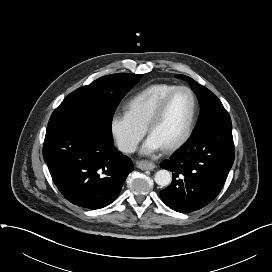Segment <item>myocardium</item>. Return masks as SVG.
I'll return each mask as SVG.
<instances>
[{
  "label": "myocardium",
  "mask_w": 272,
  "mask_h": 272,
  "mask_svg": "<svg viewBox=\"0 0 272 272\" xmlns=\"http://www.w3.org/2000/svg\"><path fill=\"white\" fill-rule=\"evenodd\" d=\"M180 91H186L190 94V96L192 98V112H191V116L188 121V124L186 126V129H185L184 133L181 135V137L179 139H177L175 142L163 147L164 151H167V152L177 150L178 148L183 146L189 140V138L191 137V135L193 133V130H194V127L196 124V120H197V116H198V109H199L198 99H197V96L194 93V91L187 86H177L176 88L171 90L160 101V103L158 104V106L156 107L154 112L152 113V115L147 123V127H146L147 132L149 134H151L155 125L163 117V115L168 107V104L171 101V99L173 98V96Z\"/></svg>",
  "instance_id": "myocardium-1"
}]
</instances>
